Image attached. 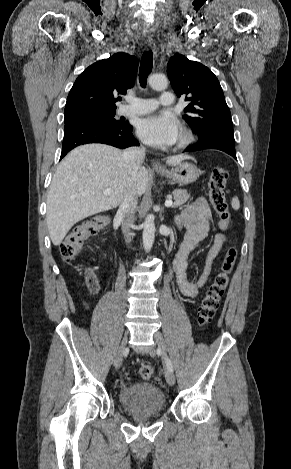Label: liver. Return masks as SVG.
Here are the masks:
<instances>
[{
  "label": "liver",
  "instance_id": "6515ba94",
  "mask_svg": "<svg viewBox=\"0 0 291 469\" xmlns=\"http://www.w3.org/2000/svg\"><path fill=\"white\" fill-rule=\"evenodd\" d=\"M123 152L104 144H86L72 150L59 164L48 197L46 221L52 243L61 244L68 231L79 221L116 208L128 190L142 196L148 187V170L140 166L136 177L122 159ZM188 156L167 158L171 166ZM111 190L110 195L103 191Z\"/></svg>",
  "mask_w": 291,
  "mask_h": 469
}]
</instances>
